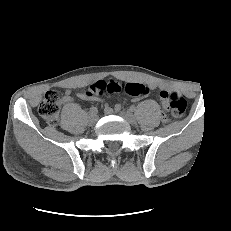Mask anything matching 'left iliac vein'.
Wrapping results in <instances>:
<instances>
[{"mask_svg": "<svg viewBox=\"0 0 231 231\" xmlns=\"http://www.w3.org/2000/svg\"><path fill=\"white\" fill-rule=\"evenodd\" d=\"M120 115L127 121L129 122L130 124H135L136 123V118L135 116L130 113V112H126V111H123L120 113Z\"/></svg>", "mask_w": 231, "mask_h": 231, "instance_id": "4c4485c4", "label": "left iliac vein"}]
</instances>
